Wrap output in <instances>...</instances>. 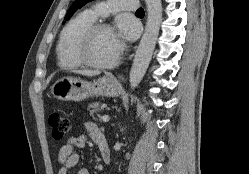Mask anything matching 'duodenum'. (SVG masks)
<instances>
[{
	"label": "duodenum",
	"instance_id": "410a0bca",
	"mask_svg": "<svg viewBox=\"0 0 249 174\" xmlns=\"http://www.w3.org/2000/svg\"><path fill=\"white\" fill-rule=\"evenodd\" d=\"M99 148H100L101 156H102L104 163L110 164L111 154H110L108 144L105 145V144L100 143Z\"/></svg>",
	"mask_w": 249,
	"mask_h": 174
}]
</instances>
